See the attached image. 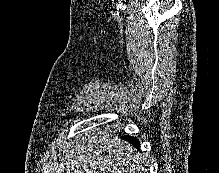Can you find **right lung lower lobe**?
I'll list each match as a JSON object with an SVG mask.
<instances>
[{"mask_svg":"<svg viewBox=\"0 0 219 173\" xmlns=\"http://www.w3.org/2000/svg\"><path fill=\"white\" fill-rule=\"evenodd\" d=\"M124 139L128 140L131 144H133L135 147H139V141L137 138L131 137V136H124Z\"/></svg>","mask_w":219,"mask_h":173,"instance_id":"1","label":"right lung lower lobe"}]
</instances>
